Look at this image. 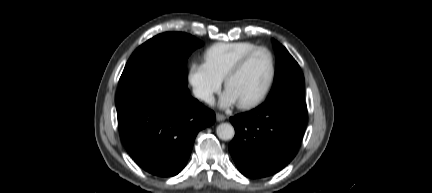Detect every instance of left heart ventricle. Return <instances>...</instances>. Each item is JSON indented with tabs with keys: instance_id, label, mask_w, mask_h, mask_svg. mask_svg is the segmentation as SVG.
I'll return each mask as SVG.
<instances>
[{
	"instance_id": "obj_1",
	"label": "left heart ventricle",
	"mask_w": 432,
	"mask_h": 193,
	"mask_svg": "<svg viewBox=\"0 0 432 193\" xmlns=\"http://www.w3.org/2000/svg\"><path fill=\"white\" fill-rule=\"evenodd\" d=\"M271 72L270 57L267 52L259 51L252 56L243 69L231 80L228 91L237 103L256 98L267 85Z\"/></svg>"
}]
</instances>
